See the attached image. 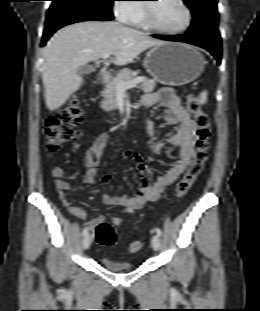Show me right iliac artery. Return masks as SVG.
<instances>
[{"instance_id":"obj_1","label":"right iliac artery","mask_w":260,"mask_h":311,"mask_svg":"<svg viewBox=\"0 0 260 311\" xmlns=\"http://www.w3.org/2000/svg\"><path fill=\"white\" fill-rule=\"evenodd\" d=\"M88 230H89L88 227L83 230V236H86L88 234Z\"/></svg>"}]
</instances>
